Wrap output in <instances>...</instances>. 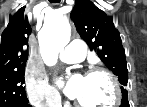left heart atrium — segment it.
<instances>
[{"instance_id": "1", "label": "left heart atrium", "mask_w": 147, "mask_h": 107, "mask_svg": "<svg viewBox=\"0 0 147 107\" xmlns=\"http://www.w3.org/2000/svg\"><path fill=\"white\" fill-rule=\"evenodd\" d=\"M83 80H84V77L82 76H75L74 78H72L67 83V86L65 88V94L69 98H73V99L77 98L82 90Z\"/></svg>"}]
</instances>
